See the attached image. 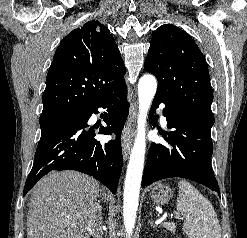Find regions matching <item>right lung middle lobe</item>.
<instances>
[{"label":"right lung middle lobe","mask_w":247,"mask_h":238,"mask_svg":"<svg viewBox=\"0 0 247 238\" xmlns=\"http://www.w3.org/2000/svg\"><path fill=\"white\" fill-rule=\"evenodd\" d=\"M70 117L71 115H67V116H61V117H56V118L40 121L41 133L53 127H56L57 125L69 119Z\"/></svg>","instance_id":"obj_1"}]
</instances>
